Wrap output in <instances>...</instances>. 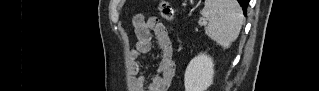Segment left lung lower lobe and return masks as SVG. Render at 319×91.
<instances>
[{"mask_svg": "<svg viewBox=\"0 0 319 91\" xmlns=\"http://www.w3.org/2000/svg\"><path fill=\"white\" fill-rule=\"evenodd\" d=\"M239 2V4L241 5L242 9H243V13L244 15L247 14V6L249 3V0H237Z\"/></svg>", "mask_w": 319, "mask_h": 91, "instance_id": "0a47b994", "label": "left lung lower lobe"}]
</instances>
